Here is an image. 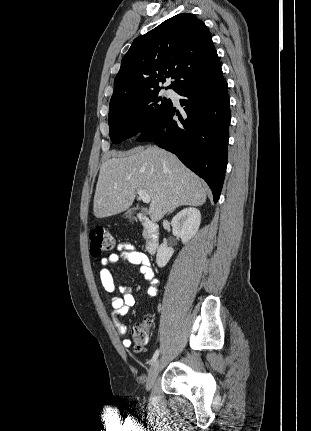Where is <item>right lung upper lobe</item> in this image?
Segmentation results:
<instances>
[{"label": "right lung upper lobe", "mask_w": 311, "mask_h": 431, "mask_svg": "<svg viewBox=\"0 0 311 431\" xmlns=\"http://www.w3.org/2000/svg\"><path fill=\"white\" fill-rule=\"evenodd\" d=\"M221 69L211 35L195 15H176L134 40L114 79L111 97L160 90L175 79V92Z\"/></svg>", "instance_id": "cb5924a9"}]
</instances>
